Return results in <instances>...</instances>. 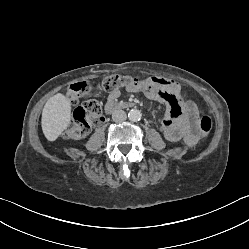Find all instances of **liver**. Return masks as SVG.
Masks as SVG:
<instances>
[{
	"mask_svg": "<svg viewBox=\"0 0 249 249\" xmlns=\"http://www.w3.org/2000/svg\"><path fill=\"white\" fill-rule=\"evenodd\" d=\"M71 120V102L61 93H58L46 102L43 111L41 126L48 141H55L67 129Z\"/></svg>",
	"mask_w": 249,
	"mask_h": 249,
	"instance_id": "6515ba94",
	"label": "liver"
}]
</instances>
